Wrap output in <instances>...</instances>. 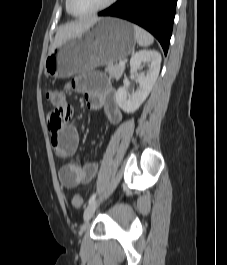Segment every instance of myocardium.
<instances>
[{"instance_id":"1","label":"myocardium","mask_w":227,"mask_h":265,"mask_svg":"<svg viewBox=\"0 0 227 265\" xmlns=\"http://www.w3.org/2000/svg\"><path fill=\"white\" fill-rule=\"evenodd\" d=\"M117 0H107L105 3H103L101 6L89 11V12H86V13H78L76 12L73 7H72V0H66V6H67V9L69 11L70 14H72L73 16L75 17H87V16H91V15H94V14H97L99 12H102L104 10H106L107 8H109L110 6H112Z\"/></svg>"}]
</instances>
